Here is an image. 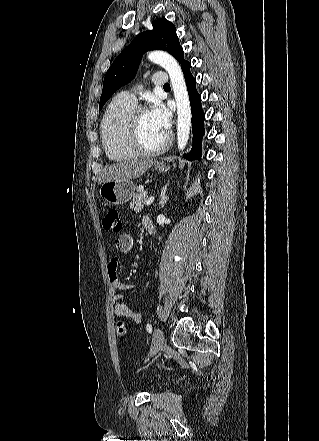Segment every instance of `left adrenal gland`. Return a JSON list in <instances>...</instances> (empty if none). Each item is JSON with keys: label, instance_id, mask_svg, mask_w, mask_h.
<instances>
[{"label": "left adrenal gland", "instance_id": "left-adrenal-gland-1", "mask_svg": "<svg viewBox=\"0 0 319 441\" xmlns=\"http://www.w3.org/2000/svg\"><path fill=\"white\" fill-rule=\"evenodd\" d=\"M169 183H170V181H168L167 184H165V186L161 190L160 202H159L160 208H164L165 204L169 200V196L166 195V190H167Z\"/></svg>", "mask_w": 319, "mask_h": 441}]
</instances>
